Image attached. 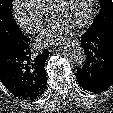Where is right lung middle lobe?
<instances>
[{"label": "right lung middle lobe", "mask_w": 113, "mask_h": 113, "mask_svg": "<svg viewBox=\"0 0 113 113\" xmlns=\"http://www.w3.org/2000/svg\"><path fill=\"white\" fill-rule=\"evenodd\" d=\"M12 1L0 0V46L23 35L11 12Z\"/></svg>", "instance_id": "right-lung-middle-lobe-1"}]
</instances>
